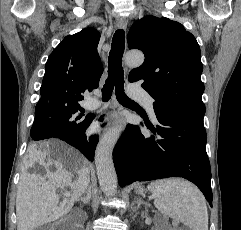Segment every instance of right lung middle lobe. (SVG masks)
Segmentation results:
<instances>
[{
  "instance_id": "obj_1",
  "label": "right lung middle lobe",
  "mask_w": 241,
  "mask_h": 230,
  "mask_svg": "<svg viewBox=\"0 0 241 230\" xmlns=\"http://www.w3.org/2000/svg\"><path fill=\"white\" fill-rule=\"evenodd\" d=\"M84 109L80 105L73 107H53L37 113L36 121L48 131L74 132L79 130L89 119L84 116ZM41 134L31 135L33 140H42Z\"/></svg>"
}]
</instances>
